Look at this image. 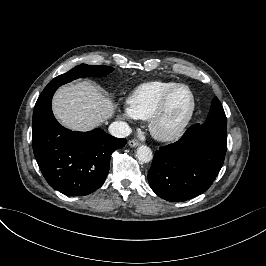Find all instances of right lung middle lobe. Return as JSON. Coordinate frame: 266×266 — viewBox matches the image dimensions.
Wrapping results in <instances>:
<instances>
[{"label": "right lung middle lobe", "instance_id": "right-lung-middle-lobe-1", "mask_svg": "<svg viewBox=\"0 0 266 266\" xmlns=\"http://www.w3.org/2000/svg\"><path fill=\"white\" fill-rule=\"evenodd\" d=\"M113 70L114 68L110 66H91L87 64H81L71 69L67 73L57 76L46 87H51L53 85H62L74 79L84 78L88 76L103 77L111 73Z\"/></svg>", "mask_w": 266, "mask_h": 266}]
</instances>
